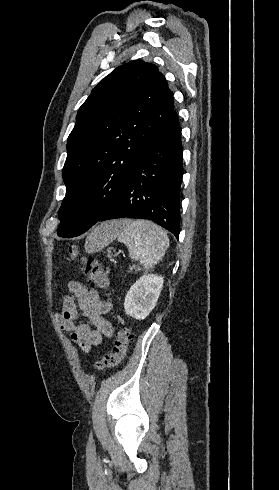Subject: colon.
I'll return each instance as SVG.
<instances>
[{
  "label": "colon",
  "mask_w": 279,
  "mask_h": 490,
  "mask_svg": "<svg viewBox=\"0 0 279 490\" xmlns=\"http://www.w3.org/2000/svg\"><path fill=\"white\" fill-rule=\"evenodd\" d=\"M67 254L69 259L95 289H109V273L95 258L81 253L75 244L68 246ZM132 342L133 335L128 327L118 329L114 337L113 351L106 354L102 359L97 360L94 367L97 370L117 367L127 355Z\"/></svg>",
  "instance_id": "1"
}]
</instances>
